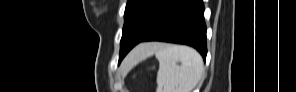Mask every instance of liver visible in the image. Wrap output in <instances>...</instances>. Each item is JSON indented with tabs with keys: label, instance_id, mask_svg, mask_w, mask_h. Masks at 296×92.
Returning <instances> with one entry per match:
<instances>
[{
	"label": "liver",
	"instance_id": "1",
	"mask_svg": "<svg viewBox=\"0 0 296 92\" xmlns=\"http://www.w3.org/2000/svg\"><path fill=\"white\" fill-rule=\"evenodd\" d=\"M148 45L147 44H144V45H141L139 46L133 53H132V56L131 57H134V56H138L141 52H142V49L147 47Z\"/></svg>",
	"mask_w": 296,
	"mask_h": 92
}]
</instances>
